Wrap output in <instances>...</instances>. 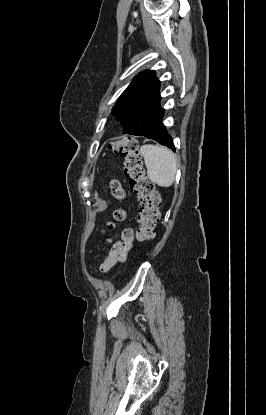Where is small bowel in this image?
Masks as SVG:
<instances>
[{
	"label": "small bowel",
	"mask_w": 266,
	"mask_h": 415,
	"mask_svg": "<svg viewBox=\"0 0 266 415\" xmlns=\"http://www.w3.org/2000/svg\"><path fill=\"white\" fill-rule=\"evenodd\" d=\"M134 232L131 228H125L120 235V240L115 242L100 264V271L107 272L117 263L124 262L128 251L132 247Z\"/></svg>",
	"instance_id": "1"
}]
</instances>
